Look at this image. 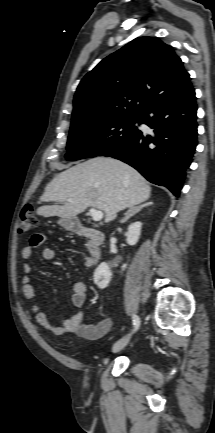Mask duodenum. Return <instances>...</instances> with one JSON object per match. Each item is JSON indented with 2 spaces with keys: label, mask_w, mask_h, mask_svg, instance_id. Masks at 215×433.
I'll return each instance as SVG.
<instances>
[{
  "label": "duodenum",
  "mask_w": 215,
  "mask_h": 433,
  "mask_svg": "<svg viewBox=\"0 0 215 433\" xmlns=\"http://www.w3.org/2000/svg\"><path fill=\"white\" fill-rule=\"evenodd\" d=\"M68 225L69 229L76 234L88 238L87 246L91 264H97L101 258V235L97 231L87 228L80 220L77 219H70Z\"/></svg>",
  "instance_id": "obj_1"
}]
</instances>
